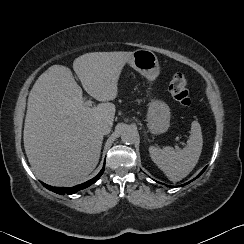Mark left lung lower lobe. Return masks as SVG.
I'll use <instances>...</instances> for the list:
<instances>
[{"label": "left lung lower lobe", "mask_w": 244, "mask_h": 244, "mask_svg": "<svg viewBox=\"0 0 244 244\" xmlns=\"http://www.w3.org/2000/svg\"><path fill=\"white\" fill-rule=\"evenodd\" d=\"M205 169H206V168H204V169L201 171V173H200L197 177H199V176L205 171Z\"/></svg>", "instance_id": "0a47b994"}]
</instances>
